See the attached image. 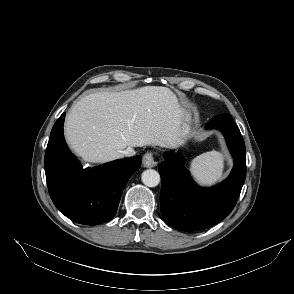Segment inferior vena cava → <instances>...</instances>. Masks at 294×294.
<instances>
[{
    "instance_id": "602c4592",
    "label": "inferior vena cava",
    "mask_w": 294,
    "mask_h": 294,
    "mask_svg": "<svg viewBox=\"0 0 294 294\" xmlns=\"http://www.w3.org/2000/svg\"><path fill=\"white\" fill-rule=\"evenodd\" d=\"M121 154L126 157H132L136 154L133 148L127 147L125 150L121 151Z\"/></svg>"
}]
</instances>
